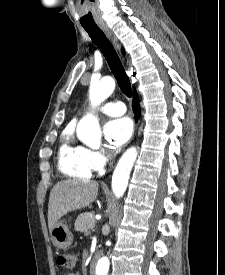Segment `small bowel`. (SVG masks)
I'll list each match as a JSON object with an SVG mask.
<instances>
[{
    "label": "small bowel",
    "instance_id": "obj_1",
    "mask_svg": "<svg viewBox=\"0 0 225 275\" xmlns=\"http://www.w3.org/2000/svg\"><path fill=\"white\" fill-rule=\"evenodd\" d=\"M63 275H79V273H77V272H72V273H65V274H63Z\"/></svg>",
    "mask_w": 225,
    "mask_h": 275
}]
</instances>
